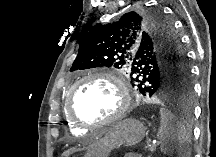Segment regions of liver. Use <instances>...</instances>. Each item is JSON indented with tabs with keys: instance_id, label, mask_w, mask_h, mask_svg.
<instances>
[{
	"instance_id": "6515ba94",
	"label": "liver",
	"mask_w": 216,
	"mask_h": 157,
	"mask_svg": "<svg viewBox=\"0 0 216 157\" xmlns=\"http://www.w3.org/2000/svg\"><path fill=\"white\" fill-rule=\"evenodd\" d=\"M74 151H75V150H73V149H72V150H69V151H66V152L63 153V156H64V157H68V156H69L71 153H73Z\"/></svg>"
}]
</instances>
